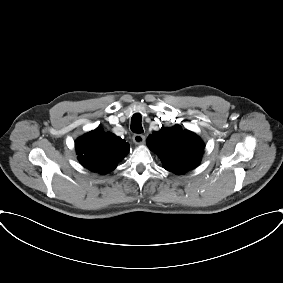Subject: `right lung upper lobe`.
Here are the masks:
<instances>
[{
  "label": "right lung upper lobe",
  "mask_w": 283,
  "mask_h": 283,
  "mask_svg": "<svg viewBox=\"0 0 283 283\" xmlns=\"http://www.w3.org/2000/svg\"><path fill=\"white\" fill-rule=\"evenodd\" d=\"M75 145L80 163L100 173L115 169L129 151V144L125 140L101 128L78 138Z\"/></svg>",
  "instance_id": "right-lung-upper-lobe-1"
}]
</instances>
